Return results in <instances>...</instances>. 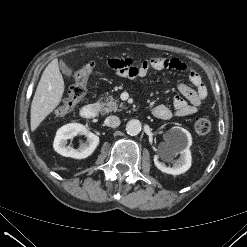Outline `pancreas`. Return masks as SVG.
Here are the masks:
<instances>
[{
  "mask_svg": "<svg viewBox=\"0 0 247 247\" xmlns=\"http://www.w3.org/2000/svg\"><path fill=\"white\" fill-rule=\"evenodd\" d=\"M118 100L114 99L113 96H109L106 98V101L102 103V112L103 113H109V112H116L121 111L122 109H125V105L121 102L118 104Z\"/></svg>",
  "mask_w": 247,
  "mask_h": 247,
  "instance_id": "1",
  "label": "pancreas"
}]
</instances>
